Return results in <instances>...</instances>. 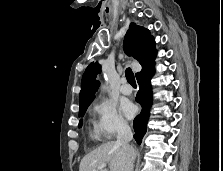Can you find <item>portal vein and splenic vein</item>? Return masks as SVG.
Wrapping results in <instances>:
<instances>
[{
  "instance_id": "18ae733b",
  "label": "portal vein and splenic vein",
  "mask_w": 223,
  "mask_h": 171,
  "mask_svg": "<svg viewBox=\"0 0 223 171\" xmlns=\"http://www.w3.org/2000/svg\"><path fill=\"white\" fill-rule=\"evenodd\" d=\"M106 167V164H101L100 166H98V169H102V168H105Z\"/></svg>"
}]
</instances>
